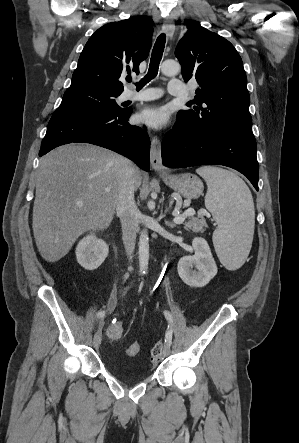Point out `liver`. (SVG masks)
<instances>
[{
  "mask_svg": "<svg viewBox=\"0 0 299 443\" xmlns=\"http://www.w3.org/2000/svg\"><path fill=\"white\" fill-rule=\"evenodd\" d=\"M129 165L119 154L86 144L63 145L40 159L32 228L43 259L60 260L84 232L110 225L121 176ZM135 179L138 188V168Z\"/></svg>",
  "mask_w": 299,
  "mask_h": 443,
  "instance_id": "obj_1",
  "label": "liver"
}]
</instances>
